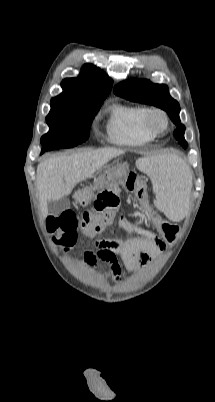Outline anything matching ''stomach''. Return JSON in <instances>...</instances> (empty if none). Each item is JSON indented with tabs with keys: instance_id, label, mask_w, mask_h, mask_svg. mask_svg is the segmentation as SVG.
Here are the masks:
<instances>
[{
	"instance_id": "0dacf381",
	"label": "stomach",
	"mask_w": 215,
	"mask_h": 402,
	"mask_svg": "<svg viewBox=\"0 0 215 402\" xmlns=\"http://www.w3.org/2000/svg\"><path fill=\"white\" fill-rule=\"evenodd\" d=\"M128 167L124 163L114 162L105 167L94 180L93 186L85 187L74 194L76 202L82 206L88 205L95 197V191L107 187L112 182H119L127 177Z\"/></svg>"
}]
</instances>
